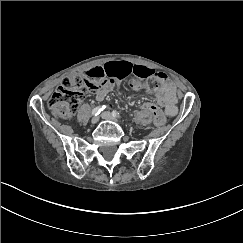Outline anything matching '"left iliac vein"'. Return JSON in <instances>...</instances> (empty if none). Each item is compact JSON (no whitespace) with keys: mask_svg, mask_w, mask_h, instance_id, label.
I'll return each instance as SVG.
<instances>
[{"mask_svg":"<svg viewBox=\"0 0 243 243\" xmlns=\"http://www.w3.org/2000/svg\"><path fill=\"white\" fill-rule=\"evenodd\" d=\"M101 117L106 120L118 122L117 119L110 112L102 113Z\"/></svg>","mask_w":243,"mask_h":243,"instance_id":"left-iliac-vein-1","label":"left iliac vein"}]
</instances>
